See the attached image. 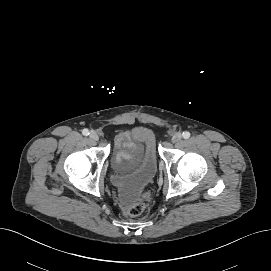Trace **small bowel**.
<instances>
[{"label": "small bowel", "mask_w": 271, "mask_h": 271, "mask_svg": "<svg viewBox=\"0 0 271 271\" xmlns=\"http://www.w3.org/2000/svg\"><path fill=\"white\" fill-rule=\"evenodd\" d=\"M141 158V147L129 132H121L115 139V162L122 164L123 161L138 162Z\"/></svg>", "instance_id": "1"}]
</instances>
